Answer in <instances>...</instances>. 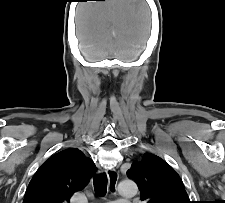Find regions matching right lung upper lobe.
I'll use <instances>...</instances> for the list:
<instances>
[{
	"mask_svg": "<svg viewBox=\"0 0 225 203\" xmlns=\"http://www.w3.org/2000/svg\"><path fill=\"white\" fill-rule=\"evenodd\" d=\"M96 171L78 149H66L46 160L31 179L23 203H69Z\"/></svg>",
	"mask_w": 225,
	"mask_h": 203,
	"instance_id": "obj_1",
	"label": "right lung upper lobe"
}]
</instances>
